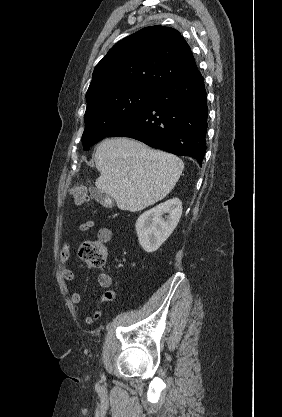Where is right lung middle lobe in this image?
Instances as JSON below:
<instances>
[{
	"instance_id": "dd1d6c3e",
	"label": "right lung middle lobe",
	"mask_w": 282,
	"mask_h": 417,
	"mask_svg": "<svg viewBox=\"0 0 282 417\" xmlns=\"http://www.w3.org/2000/svg\"><path fill=\"white\" fill-rule=\"evenodd\" d=\"M155 93L154 90L128 88L86 99V128L82 136L84 150H89L92 145L141 110Z\"/></svg>"
}]
</instances>
